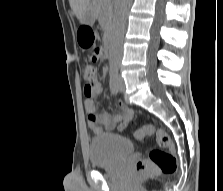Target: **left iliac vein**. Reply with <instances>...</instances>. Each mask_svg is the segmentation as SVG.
Segmentation results:
<instances>
[{"label": "left iliac vein", "mask_w": 223, "mask_h": 191, "mask_svg": "<svg viewBox=\"0 0 223 191\" xmlns=\"http://www.w3.org/2000/svg\"><path fill=\"white\" fill-rule=\"evenodd\" d=\"M118 88L120 92H123L125 90L124 79L120 75L118 76Z\"/></svg>", "instance_id": "1"}]
</instances>
